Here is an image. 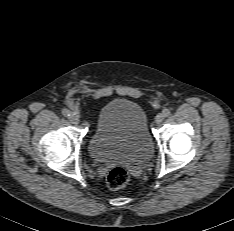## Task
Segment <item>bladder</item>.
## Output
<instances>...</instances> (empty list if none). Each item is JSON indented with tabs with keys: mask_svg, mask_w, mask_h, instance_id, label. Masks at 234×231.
<instances>
[{
	"mask_svg": "<svg viewBox=\"0 0 234 231\" xmlns=\"http://www.w3.org/2000/svg\"><path fill=\"white\" fill-rule=\"evenodd\" d=\"M88 152L100 163L147 162L153 153V141L144 109L124 98L105 104L89 138Z\"/></svg>",
	"mask_w": 234,
	"mask_h": 231,
	"instance_id": "bladder-1",
	"label": "bladder"
}]
</instances>
